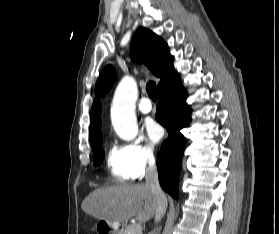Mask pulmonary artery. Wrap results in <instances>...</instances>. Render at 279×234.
I'll return each mask as SVG.
<instances>
[{
    "label": "pulmonary artery",
    "instance_id": "pulmonary-artery-1",
    "mask_svg": "<svg viewBox=\"0 0 279 234\" xmlns=\"http://www.w3.org/2000/svg\"><path fill=\"white\" fill-rule=\"evenodd\" d=\"M138 110L142 114H148L152 111V104L148 98H143L138 104Z\"/></svg>",
    "mask_w": 279,
    "mask_h": 234
}]
</instances>
